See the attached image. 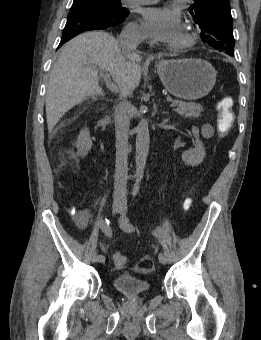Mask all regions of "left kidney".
Listing matches in <instances>:
<instances>
[{
  "mask_svg": "<svg viewBox=\"0 0 261 340\" xmlns=\"http://www.w3.org/2000/svg\"><path fill=\"white\" fill-rule=\"evenodd\" d=\"M192 133L195 137V147L182 153V161L185 165L192 167L201 164L206 156L205 148L202 141L199 139V130L197 127H192Z\"/></svg>",
  "mask_w": 261,
  "mask_h": 340,
  "instance_id": "5707ae66",
  "label": "left kidney"
}]
</instances>
